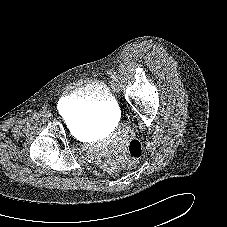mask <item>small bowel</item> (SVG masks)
I'll list each match as a JSON object with an SVG mask.
<instances>
[{"label":"small bowel","instance_id":"small-bowel-1","mask_svg":"<svg viewBox=\"0 0 227 227\" xmlns=\"http://www.w3.org/2000/svg\"><path fill=\"white\" fill-rule=\"evenodd\" d=\"M120 151L107 152L97 158L98 164L107 170H114L117 167Z\"/></svg>","mask_w":227,"mask_h":227}]
</instances>
